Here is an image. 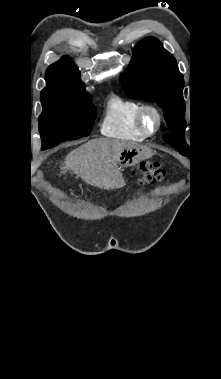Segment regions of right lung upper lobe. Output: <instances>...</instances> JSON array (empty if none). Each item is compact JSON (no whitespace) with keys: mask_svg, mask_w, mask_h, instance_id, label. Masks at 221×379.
<instances>
[{"mask_svg":"<svg viewBox=\"0 0 221 379\" xmlns=\"http://www.w3.org/2000/svg\"><path fill=\"white\" fill-rule=\"evenodd\" d=\"M46 83L41 99L78 98L86 93L85 85L80 81V72L68 57L53 63L46 70Z\"/></svg>","mask_w":221,"mask_h":379,"instance_id":"cb5924a9","label":"right lung upper lobe"}]
</instances>
